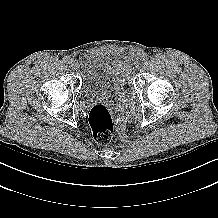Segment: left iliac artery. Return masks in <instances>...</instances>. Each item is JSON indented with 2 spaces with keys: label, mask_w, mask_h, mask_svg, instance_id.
<instances>
[{
  "label": "left iliac artery",
  "mask_w": 218,
  "mask_h": 218,
  "mask_svg": "<svg viewBox=\"0 0 218 218\" xmlns=\"http://www.w3.org/2000/svg\"><path fill=\"white\" fill-rule=\"evenodd\" d=\"M142 61L147 62L149 59V55L147 53H143V55L141 56Z\"/></svg>",
  "instance_id": "obj_1"
}]
</instances>
